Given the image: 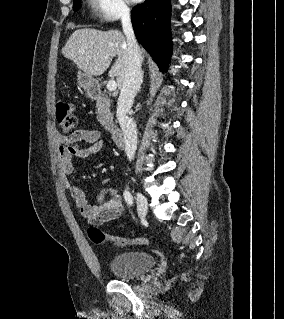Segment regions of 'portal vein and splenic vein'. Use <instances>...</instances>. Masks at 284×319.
Returning a JSON list of instances; mask_svg holds the SVG:
<instances>
[{"instance_id":"portal-vein-and-splenic-vein-1","label":"portal vein and splenic vein","mask_w":284,"mask_h":319,"mask_svg":"<svg viewBox=\"0 0 284 319\" xmlns=\"http://www.w3.org/2000/svg\"><path fill=\"white\" fill-rule=\"evenodd\" d=\"M107 89H108L109 91H115V90L117 89V84H116V82H115L114 80L108 81V83H107Z\"/></svg>"}]
</instances>
